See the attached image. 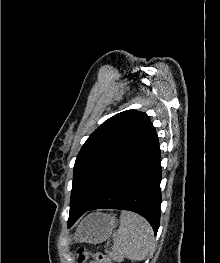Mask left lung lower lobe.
I'll list each match as a JSON object with an SVG mask.
<instances>
[{"label":"left lung lower lobe","mask_w":220,"mask_h":263,"mask_svg":"<svg viewBox=\"0 0 220 263\" xmlns=\"http://www.w3.org/2000/svg\"><path fill=\"white\" fill-rule=\"evenodd\" d=\"M161 159L157 139L84 210H70L68 228L85 212L94 209L129 210L142 215L156 235L160 223Z\"/></svg>","instance_id":"0a47b994"}]
</instances>
